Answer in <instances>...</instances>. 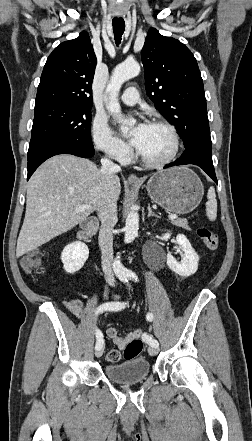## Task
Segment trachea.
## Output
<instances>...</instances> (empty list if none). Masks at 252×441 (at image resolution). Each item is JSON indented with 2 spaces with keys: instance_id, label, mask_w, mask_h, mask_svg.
<instances>
[{
  "instance_id": "obj_1",
  "label": "trachea",
  "mask_w": 252,
  "mask_h": 441,
  "mask_svg": "<svg viewBox=\"0 0 252 441\" xmlns=\"http://www.w3.org/2000/svg\"><path fill=\"white\" fill-rule=\"evenodd\" d=\"M116 45L121 43V38L125 30V22L122 19H116L112 22Z\"/></svg>"
}]
</instances>
